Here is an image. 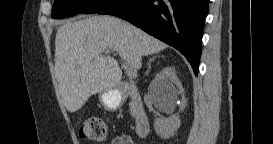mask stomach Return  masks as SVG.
<instances>
[{
	"instance_id": "1",
	"label": "stomach",
	"mask_w": 273,
	"mask_h": 144,
	"mask_svg": "<svg viewBox=\"0 0 273 144\" xmlns=\"http://www.w3.org/2000/svg\"><path fill=\"white\" fill-rule=\"evenodd\" d=\"M99 100L105 110L115 111L121 106L123 96L119 90L114 89L100 93Z\"/></svg>"
}]
</instances>
